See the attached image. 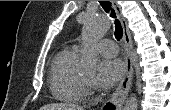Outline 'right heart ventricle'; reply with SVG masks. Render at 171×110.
I'll list each match as a JSON object with an SVG mask.
<instances>
[{
    "mask_svg": "<svg viewBox=\"0 0 171 110\" xmlns=\"http://www.w3.org/2000/svg\"><path fill=\"white\" fill-rule=\"evenodd\" d=\"M77 60L76 47L65 48L54 58L50 69L49 85L52 94L58 100L77 103L86 98L80 81L81 76L75 70Z\"/></svg>",
    "mask_w": 171,
    "mask_h": 110,
    "instance_id": "obj_1",
    "label": "right heart ventricle"
}]
</instances>
